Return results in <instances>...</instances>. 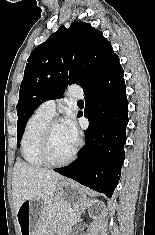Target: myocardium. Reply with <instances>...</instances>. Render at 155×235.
Instances as JSON below:
<instances>
[{
  "instance_id": "1",
  "label": "myocardium",
  "mask_w": 155,
  "mask_h": 235,
  "mask_svg": "<svg viewBox=\"0 0 155 235\" xmlns=\"http://www.w3.org/2000/svg\"><path fill=\"white\" fill-rule=\"evenodd\" d=\"M58 123H61L59 119L51 118L49 120V122L44 127L40 144H39V155L41 159L43 160V162L50 166H63V165L70 163L75 158L77 154V150H78V144H75L72 152L65 159L54 160L51 158L50 153H49L51 132H52L53 127Z\"/></svg>"
}]
</instances>
